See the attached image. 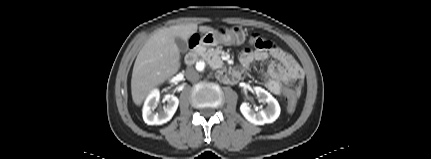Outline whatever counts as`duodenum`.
Segmentation results:
<instances>
[{"instance_id": "duodenum-1", "label": "duodenum", "mask_w": 431, "mask_h": 159, "mask_svg": "<svg viewBox=\"0 0 431 159\" xmlns=\"http://www.w3.org/2000/svg\"><path fill=\"white\" fill-rule=\"evenodd\" d=\"M205 45L204 40H192L191 41V49L185 56V63L187 65H192L197 57L199 51L202 49V47ZM239 73L236 70H224L221 73V77L224 81L232 82L236 81L238 79Z\"/></svg>"}]
</instances>
